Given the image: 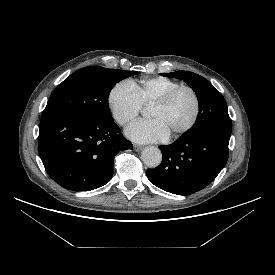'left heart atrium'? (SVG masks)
I'll return each instance as SVG.
<instances>
[{
    "label": "left heart atrium",
    "mask_w": 275,
    "mask_h": 275,
    "mask_svg": "<svg viewBox=\"0 0 275 275\" xmlns=\"http://www.w3.org/2000/svg\"><path fill=\"white\" fill-rule=\"evenodd\" d=\"M125 134L138 143L159 142L169 137L165 127L156 119L137 120L126 129Z\"/></svg>",
    "instance_id": "left-heart-atrium-1"
}]
</instances>
